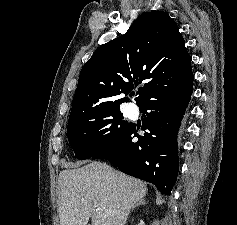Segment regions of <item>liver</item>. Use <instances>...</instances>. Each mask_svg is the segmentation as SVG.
Wrapping results in <instances>:
<instances>
[{
  "mask_svg": "<svg viewBox=\"0 0 237 225\" xmlns=\"http://www.w3.org/2000/svg\"><path fill=\"white\" fill-rule=\"evenodd\" d=\"M58 188L60 225H87L90 218L92 225H125L131 208L147 194L144 182L99 161L63 170Z\"/></svg>",
  "mask_w": 237,
  "mask_h": 225,
  "instance_id": "obj_1",
  "label": "liver"
}]
</instances>
